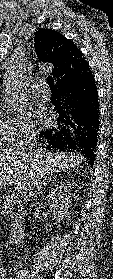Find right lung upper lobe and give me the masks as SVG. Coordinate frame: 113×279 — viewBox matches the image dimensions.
<instances>
[{
  "mask_svg": "<svg viewBox=\"0 0 113 279\" xmlns=\"http://www.w3.org/2000/svg\"><path fill=\"white\" fill-rule=\"evenodd\" d=\"M34 41L35 51L40 61L54 66L51 74L57 85L78 76L88 65L80 49L55 30H38Z\"/></svg>",
  "mask_w": 113,
  "mask_h": 279,
  "instance_id": "cb5924a9",
  "label": "right lung upper lobe"
}]
</instances>
